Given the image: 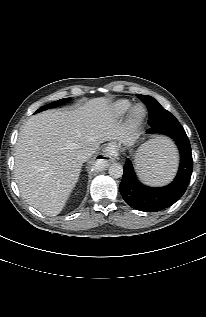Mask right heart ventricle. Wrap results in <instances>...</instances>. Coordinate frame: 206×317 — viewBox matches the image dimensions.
Returning a JSON list of instances; mask_svg holds the SVG:
<instances>
[{"label": "right heart ventricle", "mask_w": 206, "mask_h": 317, "mask_svg": "<svg viewBox=\"0 0 206 317\" xmlns=\"http://www.w3.org/2000/svg\"><path fill=\"white\" fill-rule=\"evenodd\" d=\"M131 107H132V104L130 101L125 100V99L118 100L112 104L111 112H112L113 116L121 117L124 114H126L130 110Z\"/></svg>", "instance_id": "1"}]
</instances>
